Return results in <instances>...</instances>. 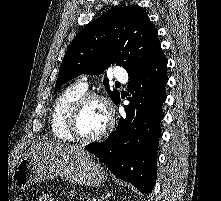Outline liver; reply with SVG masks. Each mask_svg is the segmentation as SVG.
<instances>
[{
	"label": "liver",
	"instance_id": "obj_1",
	"mask_svg": "<svg viewBox=\"0 0 221 201\" xmlns=\"http://www.w3.org/2000/svg\"><path fill=\"white\" fill-rule=\"evenodd\" d=\"M46 153L51 155H69L86 153L80 146H69L60 142H40L31 147L29 155Z\"/></svg>",
	"mask_w": 221,
	"mask_h": 201
}]
</instances>
